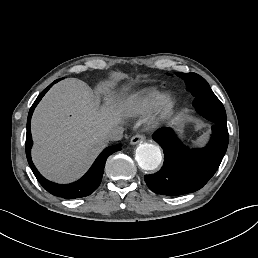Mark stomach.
Instances as JSON below:
<instances>
[{
    "label": "stomach",
    "mask_w": 258,
    "mask_h": 258,
    "mask_svg": "<svg viewBox=\"0 0 258 258\" xmlns=\"http://www.w3.org/2000/svg\"><path fill=\"white\" fill-rule=\"evenodd\" d=\"M177 133H178V136L180 137V138H183L184 136H185V125H184V123L182 122V124H181V126H180V128L177 130Z\"/></svg>",
    "instance_id": "1"
}]
</instances>
